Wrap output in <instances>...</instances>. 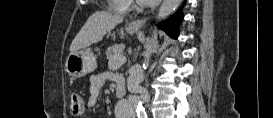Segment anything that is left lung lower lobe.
<instances>
[{"mask_svg":"<svg viewBox=\"0 0 273 118\" xmlns=\"http://www.w3.org/2000/svg\"><path fill=\"white\" fill-rule=\"evenodd\" d=\"M183 19L182 8L166 21L160 23L158 28L164 30L171 38L177 39L179 35V25Z\"/></svg>","mask_w":273,"mask_h":118,"instance_id":"obj_1","label":"left lung lower lobe"}]
</instances>
